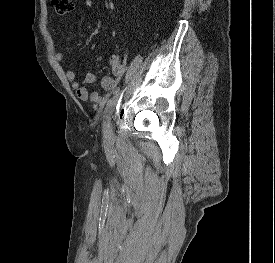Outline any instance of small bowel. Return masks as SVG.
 I'll list each match as a JSON object with an SVG mask.
<instances>
[{
  "label": "small bowel",
  "mask_w": 275,
  "mask_h": 263,
  "mask_svg": "<svg viewBox=\"0 0 275 263\" xmlns=\"http://www.w3.org/2000/svg\"><path fill=\"white\" fill-rule=\"evenodd\" d=\"M81 7L85 10L93 7V0H83ZM64 59V54L59 51L55 54V60L61 63ZM110 64L112 67V75L103 77L100 80L101 87L106 91L105 96H100L96 92H90L86 84H92L98 82L97 76L88 72L82 81L77 79L75 71L68 70L66 72V78L71 83L73 89L76 92L77 97L82 101H90L93 103L104 102L108 97L117 91V85L119 80L124 76L126 72L125 66L120 62L119 56L114 54L110 58Z\"/></svg>",
  "instance_id": "1"
}]
</instances>
